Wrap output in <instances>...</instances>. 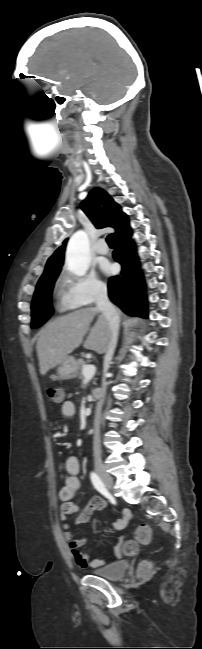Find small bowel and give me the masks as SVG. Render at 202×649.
Instances as JSON below:
<instances>
[{"label": "small bowel", "instance_id": "obj_1", "mask_svg": "<svg viewBox=\"0 0 202 649\" xmlns=\"http://www.w3.org/2000/svg\"><path fill=\"white\" fill-rule=\"evenodd\" d=\"M61 413L66 418H71L76 413L75 404L71 400H66L61 405ZM64 468L68 476L65 479L64 485L59 491V498L62 501L60 507L61 526L65 530V539L67 540L71 557L76 564L81 568H97L103 566L106 561L104 559L92 558L89 554L81 552L80 548L86 543V538L74 534L72 528L80 524L87 523L95 511L103 510L106 503L100 497H93L90 502L84 507H80L73 502V498L81 487L79 473L81 465L77 457L72 456L65 460ZM77 514L73 524L69 520V516ZM131 518V513L124 510L122 517L114 523L115 530H122L126 527ZM123 541L119 539L115 550V557H120L123 553Z\"/></svg>", "mask_w": 202, "mask_h": 649}]
</instances>
